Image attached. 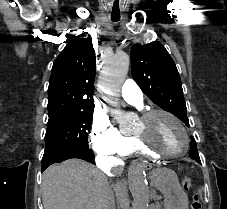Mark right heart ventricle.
Segmentation results:
<instances>
[{"mask_svg":"<svg viewBox=\"0 0 227 209\" xmlns=\"http://www.w3.org/2000/svg\"><path fill=\"white\" fill-rule=\"evenodd\" d=\"M139 155L145 158H148L150 160L156 161L158 158L152 157L148 155L136 142L134 139L129 138L128 145L123 153L124 156H129V155Z\"/></svg>","mask_w":227,"mask_h":209,"instance_id":"1","label":"right heart ventricle"}]
</instances>
